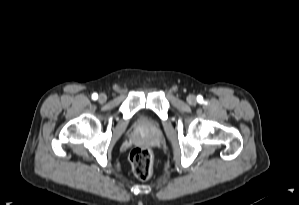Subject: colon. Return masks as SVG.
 <instances>
[{
	"instance_id": "colon-1",
	"label": "colon",
	"mask_w": 299,
	"mask_h": 205,
	"mask_svg": "<svg viewBox=\"0 0 299 205\" xmlns=\"http://www.w3.org/2000/svg\"><path fill=\"white\" fill-rule=\"evenodd\" d=\"M132 171L139 179H149L153 174V158L149 149L135 148L130 153Z\"/></svg>"
}]
</instances>
